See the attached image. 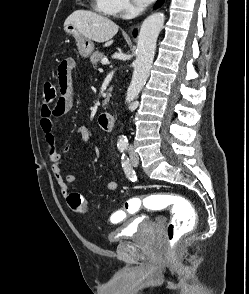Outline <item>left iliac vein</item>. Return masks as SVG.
Segmentation results:
<instances>
[{
  "instance_id": "1",
  "label": "left iliac vein",
  "mask_w": 249,
  "mask_h": 294,
  "mask_svg": "<svg viewBox=\"0 0 249 294\" xmlns=\"http://www.w3.org/2000/svg\"><path fill=\"white\" fill-rule=\"evenodd\" d=\"M130 160H131V163L133 166H138L139 158H138V155L134 151H132L130 153Z\"/></svg>"
}]
</instances>
